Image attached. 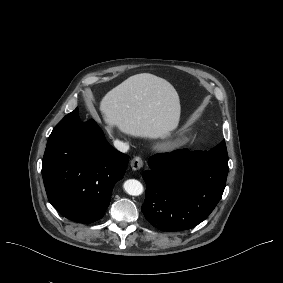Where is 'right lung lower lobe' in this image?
I'll return each mask as SVG.
<instances>
[{
    "instance_id": "98d812e1",
    "label": "right lung lower lobe",
    "mask_w": 283,
    "mask_h": 283,
    "mask_svg": "<svg viewBox=\"0 0 283 283\" xmlns=\"http://www.w3.org/2000/svg\"><path fill=\"white\" fill-rule=\"evenodd\" d=\"M128 161V155L106 141L94 120L79 121L76 108L55 126L48 138L42 176L49 202L75 222L101 219Z\"/></svg>"
}]
</instances>
